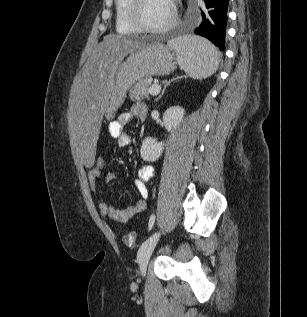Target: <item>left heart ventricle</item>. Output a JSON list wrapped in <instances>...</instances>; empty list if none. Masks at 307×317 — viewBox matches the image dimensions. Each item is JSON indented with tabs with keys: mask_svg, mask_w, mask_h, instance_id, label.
Returning a JSON list of instances; mask_svg holds the SVG:
<instances>
[{
	"mask_svg": "<svg viewBox=\"0 0 307 317\" xmlns=\"http://www.w3.org/2000/svg\"><path fill=\"white\" fill-rule=\"evenodd\" d=\"M172 16L170 0H145L142 17L151 27L159 28L165 25Z\"/></svg>",
	"mask_w": 307,
	"mask_h": 317,
	"instance_id": "1",
	"label": "left heart ventricle"
}]
</instances>
